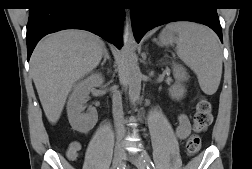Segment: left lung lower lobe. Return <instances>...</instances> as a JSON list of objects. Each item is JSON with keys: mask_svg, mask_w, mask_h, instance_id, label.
Masks as SVG:
<instances>
[{"mask_svg": "<svg viewBox=\"0 0 252 169\" xmlns=\"http://www.w3.org/2000/svg\"><path fill=\"white\" fill-rule=\"evenodd\" d=\"M131 21L137 42L154 27L175 22L191 21L213 29L222 42V30L216 7L212 0L183 1L161 0L152 8L131 9Z\"/></svg>", "mask_w": 252, "mask_h": 169, "instance_id": "1", "label": "left lung lower lobe"}]
</instances>
